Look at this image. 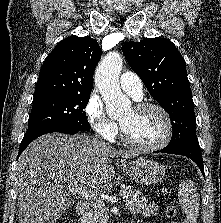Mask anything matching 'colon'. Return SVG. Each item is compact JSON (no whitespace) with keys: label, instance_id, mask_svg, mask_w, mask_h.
I'll list each match as a JSON object with an SVG mask.
<instances>
[{"label":"colon","instance_id":"1","mask_svg":"<svg viewBox=\"0 0 221 223\" xmlns=\"http://www.w3.org/2000/svg\"><path fill=\"white\" fill-rule=\"evenodd\" d=\"M166 213L168 217L173 218L176 214V211L173 206H168ZM57 223H72V221L69 218H63V219H60Z\"/></svg>","mask_w":221,"mask_h":223}]
</instances>
